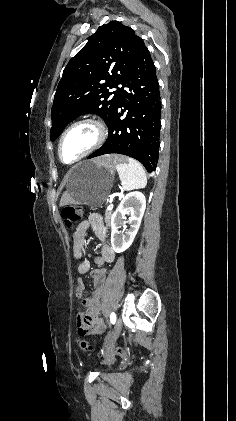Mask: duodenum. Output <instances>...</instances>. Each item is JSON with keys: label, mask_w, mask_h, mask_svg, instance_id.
I'll return each instance as SVG.
<instances>
[{"label": "duodenum", "mask_w": 236, "mask_h": 421, "mask_svg": "<svg viewBox=\"0 0 236 421\" xmlns=\"http://www.w3.org/2000/svg\"><path fill=\"white\" fill-rule=\"evenodd\" d=\"M115 254L114 251L108 247H104L102 251V255L96 259L97 263L99 265L111 263L114 260ZM94 279L97 282V288L95 290L94 298L89 301V305L91 306V322L92 324L88 323V327H86V319H84L83 325L84 328L89 332L93 333L95 332L93 322H94V316L95 314L101 309L102 306V299H103V281L105 278V270L104 269H96L93 271ZM87 318V317H86Z\"/></svg>", "instance_id": "1"}]
</instances>
